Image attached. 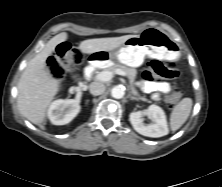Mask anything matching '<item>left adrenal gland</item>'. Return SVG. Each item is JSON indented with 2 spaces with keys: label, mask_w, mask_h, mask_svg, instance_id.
I'll return each instance as SVG.
<instances>
[{
  "label": "left adrenal gland",
  "mask_w": 222,
  "mask_h": 187,
  "mask_svg": "<svg viewBox=\"0 0 222 187\" xmlns=\"http://www.w3.org/2000/svg\"><path fill=\"white\" fill-rule=\"evenodd\" d=\"M130 99H131V100H138L136 97H134V96H132V95H130Z\"/></svg>",
  "instance_id": "obj_1"
}]
</instances>
